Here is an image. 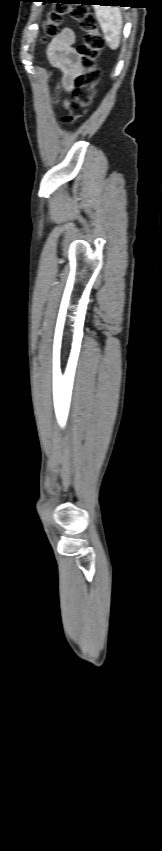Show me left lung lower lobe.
<instances>
[{
  "instance_id": "1",
  "label": "left lung lower lobe",
  "mask_w": 162,
  "mask_h": 851,
  "mask_svg": "<svg viewBox=\"0 0 162 851\" xmlns=\"http://www.w3.org/2000/svg\"><path fill=\"white\" fill-rule=\"evenodd\" d=\"M73 1H75V2H73ZM73 1L72 2H66V3H81L83 5L85 2H87L89 4L102 3V4H100L101 6L104 5V4L105 5H113V6L114 5L121 6L120 3L126 2L124 0H73ZM51 2L54 3L55 1H51ZM63 3H65V2H63Z\"/></svg>"
}]
</instances>
